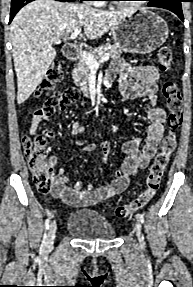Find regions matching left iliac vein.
<instances>
[{
  "instance_id": "4c4485c4",
  "label": "left iliac vein",
  "mask_w": 193,
  "mask_h": 287,
  "mask_svg": "<svg viewBox=\"0 0 193 287\" xmlns=\"http://www.w3.org/2000/svg\"><path fill=\"white\" fill-rule=\"evenodd\" d=\"M135 230H136L137 237L139 238V240H141L142 232H141V225L139 222L136 223Z\"/></svg>"
}]
</instances>
